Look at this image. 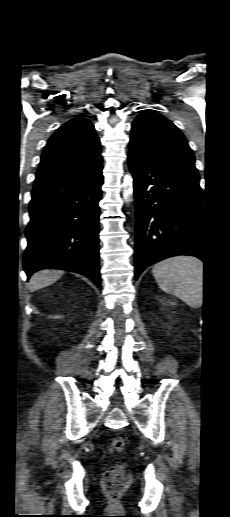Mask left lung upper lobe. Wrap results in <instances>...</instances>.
Returning <instances> with one entry per match:
<instances>
[{"instance_id":"left-lung-upper-lobe-1","label":"left lung upper lobe","mask_w":230,"mask_h":517,"mask_svg":"<svg viewBox=\"0 0 230 517\" xmlns=\"http://www.w3.org/2000/svg\"><path fill=\"white\" fill-rule=\"evenodd\" d=\"M129 151L158 164L197 172L195 157L184 135L153 110H145L134 119Z\"/></svg>"}]
</instances>
